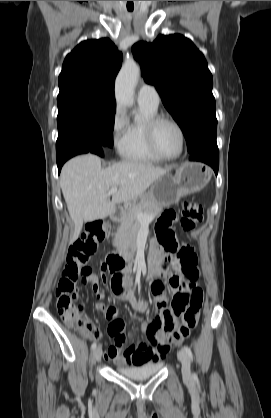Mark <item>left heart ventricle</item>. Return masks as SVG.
I'll return each mask as SVG.
<instances>
[{
	"mask_svg": "<svg viewBox=\"0 0 271 418\" xmlns=\"http://www.w3.org/2000/svg\"><path fill=\"white\" fill-rule=\"evenodd\" d=\"M156 141L160 151L167 156H174L180 150V135L171 124L163 123L158 127Z\"/></svg>",
	"mask_w": 271,
	"mask_h": 418,
	"instance_id": "1",
	"label": "left heart ventricle"
}]
</instances>
